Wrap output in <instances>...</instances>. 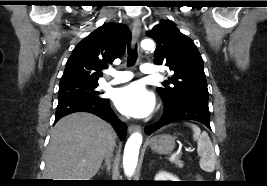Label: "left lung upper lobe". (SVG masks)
Instances as JSON below:
<instances>
[{
	"label": "left lung upper lobe",
	"instance_id": "1",
	"mask_svg": "<svg viewBox=\"0 0 267 186\" xmlns=\"http://www.w3.org/2000/svg\"><path fill=\"white\" fill-rule=\"evenodd\" d=\"M147 35L157 43L154 62L174 72L157 91L165 108L184 103L208 105L209 93L203 59L194 42L170 20H163Z\"/></svg>",
	"mask_w": 267,
	"mask_h": 186
}]
</instances>
